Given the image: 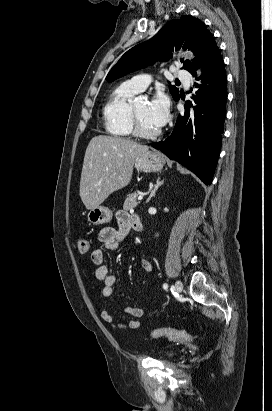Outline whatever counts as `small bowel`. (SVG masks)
Segmentation results:
<instances>
[{
    "mask_svg": "<svg viewBox=\"0 0 272 411\" xmlns=\"http://www.w3.org/2000/svg\"><path fill=\"white\" fill-rule=\"evenodd\" d=\"M132 216L126 212H120L117 214L118 228L104 227L99 232V241L103 244L108 251H116L123 239L129 234L131 229H135L132 222ZM91 260L96 266L95 275L96 278L103 283L102 296L109 298L113 296L117 279L114 275L109 273L108 267L104 260V253L102 249H95L91 253ZM141 269L145 273H150L153 270L152 262L148 259L140 260ZM122 311L129 315L131 318L126 323H117L114 320L113 315L103 304L101 311V318L108 324H113L119 330L133 329L137 330L142 327V323L139 320L144 315V309L134 306H126L122 308Z\"/></svg>",
    "mask_w": 272,
    "mask_h": 411,
    "instance_id": "1",
    "label": "small bowel"
}]
</instances>
